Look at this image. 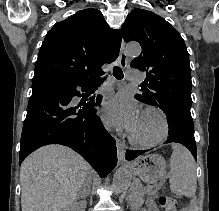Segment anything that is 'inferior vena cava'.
Wrapping results in <instances>:
<instances>
[{
    "mask_svg": "<svg viewBox=\"0 0 219 211\" xmlns=\"http://www.w3.org/2000/svg\"><path fill=\"white\" fill-rule=\"evenodd\" d=\"M101 174L100 170H93L92 174H86V179L88 183L83 184V188L80 189L81 193H87L85 196L88 198L90 195L88 194L89 189L93 188L95 185L93 183H97L99 179V175ZM92 183V184H91Z\"/></svg>",
    "mask_w": 219,
    "mask_h": 211,
    "instance_id": "obj_1",
    "label": "inferior vena cava"
}]
</instances>
